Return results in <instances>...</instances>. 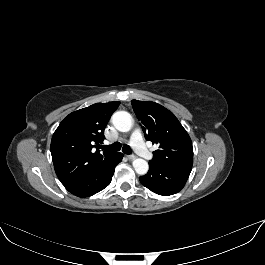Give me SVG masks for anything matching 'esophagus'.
<instances>
[{
    "label": "esophagus",
    "mask_w": 265,
    "mask_h": 265,
    "mask_svg": "<svg viewBox=\"0 0 265 265\" xmlns=\"http://www.w3.org/2000/svg\"><path fill=\"white\" fill-rule=\"evenodd\" d=\"M127 158H128L129 160H134L136 157H135L134 155H127Z\"/></svg>",
    "instance_id": "1"
}]
</instances>
